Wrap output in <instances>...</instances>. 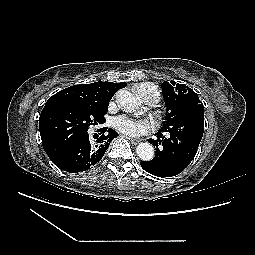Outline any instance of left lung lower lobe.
<instances>
[{"label": "left lung lower lobe", "instance_id": "0a47b994", "mask_svg": "<svg viewBox=\"0 0 255 255\" xmlns=\"http://www.w3.org/2000/svg\"><path fill=\"white\" fill-rule=\"evenodd\" d=\"M203 131L204 109L199 110L188 123L178 122L162 127L157 133V140H148L156 148V156L151 161H142L141 167L158 177H172L181 173L193 160Z\"/></svg>", "mask_w": 255, "mask_h": 255}]
</instances>
